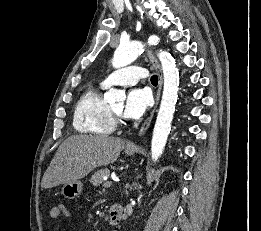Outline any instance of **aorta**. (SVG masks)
<instances>
[{"label":"aorta","mask_w":261,"mask_h":231,"mask_svg":"<svg viewBox=\"0 0 261 231\" xmlns=\"http://www.w3.org/2000/svg\"><path fill=\"white\" fill-rule=\"evenodd\" d=\"M144 50L141 42L121 43L116 49L112 65L114 68H121L132 63ZM164 76V87L162 100L153 130L151 142V157L156 162L162 155L168 135L171 130V122L175 112V105L178 98L179 72L176 68L174 58L165 51L158 53ZM125 92L111 88L105 95L104 100L109 103L124 101Z\"/></svg>","instance_id":"obj_1"}]
</instances>
